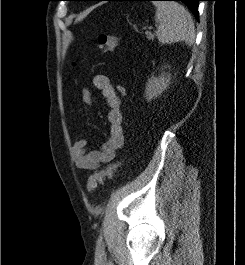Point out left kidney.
<instances>
[{"mask_svg":"<svg viewBox=\"0 0 245 265\" xmlns=\"http://www.w3.org/2000/svg\"><path fill=\"white\" fill-rule=\"evenodd\" d=\"M171 75L166 73H161L160 76L148 79L145 89V97L148 101H151L153 98L158 97L167 89L170 84Z\"/></svg>","mask_w":245,"mask_h":265,"instance_id":"5707ae66","label":"left kidney"}]
</instances>
